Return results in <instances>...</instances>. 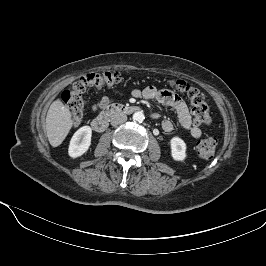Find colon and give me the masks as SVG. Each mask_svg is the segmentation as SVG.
Listing matches in <instances>:
<instances>
[{"label": "colon", "mask_w": 266, "mask_h": 266, "mask_svg": "<svg viewBox=\"0 0 266 266\" xmlns=\"http://www.w3.org/2000/svg\"><path fill=\"white\" fill-rule=\"evenodd\" d=\"M120 81L121 76L118 72L89 73L76 81L69 90H66L62 97L70 110L73 124L77 126L82 121L84 93L88 88H112ZM171 86L177 92L185 94L189 99L196 124H209L211 122L208 105L199 90L183 80H175ZM216 145L217 142L214 138H205L197 144V153L203 159H211L215 155Z\"/></svg>", "instance_id": "colon-1"}]
</instances>
